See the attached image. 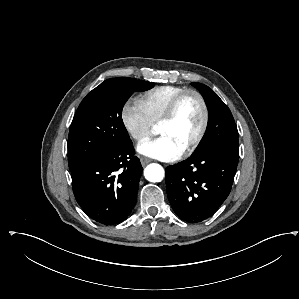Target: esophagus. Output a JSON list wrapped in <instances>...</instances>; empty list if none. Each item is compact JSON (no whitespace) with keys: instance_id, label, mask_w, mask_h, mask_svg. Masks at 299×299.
Listing matches in <instances>:
<instances>
[{"instance_id":"1","label":"esophagus","mask_w":299,"mask_h":299,"mask_svg":"<svg viewBox=\"0 0 299 299\" xmlns=\"http://www.w3.org/2000/svg\"><path fill=\"white\" fill-rule=\"evenodd\" d=\"M140 162H141L142 166H145V165H147L148 163L151 162V159L145 158V157H141L140 158Z\"/></svg>"}]
</instances>
